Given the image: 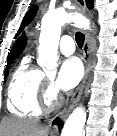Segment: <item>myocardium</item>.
Masks as SVG:
<instances>
[{"mask_svg": "<svg viewBox=\"0 0 117 136\" xmlns=\"http://www.w3.org/2000/svg\"><path fill=\"white\" fill-rule=\"evenodd\" d=\"M58 103V97L52 88L48 87L41 92L40 104L45 110H51Z\"/></svg>", "mask_w": 117, "mask_h": 136, "instance_id": "1", "label": "myocardium"}]
</instances>
